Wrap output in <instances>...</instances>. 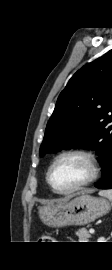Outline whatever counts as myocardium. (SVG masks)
Masks as SVG:
<instances>
[{
  "instance_id": "f54148a6",
  "label": "myocardium",
  "mask_w": 112,
  "mask_h": 270,
  "mask_svg": "<svg viewBox=\"0 0 112 270\" xmlns=\"http://www.w3.org/2000/svg\"><path fill=\"white\" fill-rule=\"evenodd\" d=\"M67 156H79V157L83 158L84 160H86V162L88 163L89 168H90V174L81 183H79V184H77V185H75L67 190H58L52 184L51 173H52L54 167L56 166V164L62 158L67 157ZM100 172H101L100 161L95 153H93L92 151L86 150V149H68V150H64V151L60 152L58 155L55 156V158L53 159V161L51 162V164L47 170L46 180H47L48 185L50 186V188L52 189V191L54 193L59 194V195H69V194L75 193V192L82 190V189L86 188L87 186L93 184L99 178Z\"/></svg>"
}]
</instances>
